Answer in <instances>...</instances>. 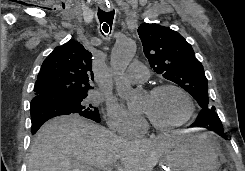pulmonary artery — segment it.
Instances as JSON below:
<instances>
[{"label":"pulmonary artery","mask_w":245,"mask_h":171,"mask_svg":"<svg viewBox=\"0 0 245 171\" xmlns=\"http://www.w3.org/2000/svg\"><path fill=\"white\" fill-rule=\"evenodd\" d=\"M148 77L147 67L139 61H134L129 66L124 79L129 83H138L147 80Z\"/></svg>","instance_id":"e3ab8cb5"}]
</instances>
